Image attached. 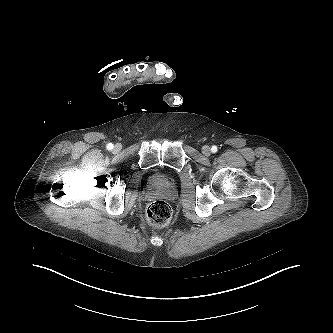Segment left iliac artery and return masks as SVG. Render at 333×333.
I'll return each instance as SVG.
<instances>
[{"mask_svg": "<svg viewBox=\"0 0 333 333\" xmlns=\"http://www.w3.org/2000/svg\"><path fill=\"white\" fill-rule=\"evenodd\" d=\"M217 150H218L217 146L214 145V146L211 147L212 153H216Z\"/></svg>", "mask_w": 333, "mask_h": 333, "instance_id": "44dca946", "label": "left iliac artery"}]
</instances>
